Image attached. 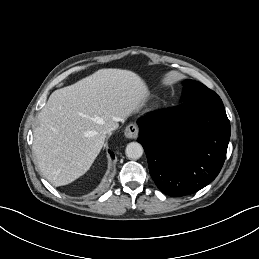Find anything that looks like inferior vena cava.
Returning a JSON list of instances; mask_svg holds the SVG:
<instances>
[{
	"label": "inferior vena cava",
	"instance_id": "602c4592",
	"mask_svg": "<svg viewBox=\"0 0 259 259\" xmlns=\"http://www.w3.org/2000/svg\"><path fill=\"white\" fill-rule=\"evenodd\" d=\"M115 129H116L115 125H110V126H107V127L104 128L103 133L106 135V134L111 133Z\"/></svg>",
	"mask_w": 259,
	"mask_h": 259
}]
</instances>
